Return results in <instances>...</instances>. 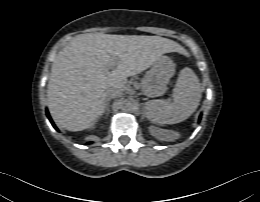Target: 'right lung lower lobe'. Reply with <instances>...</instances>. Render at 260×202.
Returning <instances> with one entry per match:
<instances>
[{"label":"right lung lower lobe","instance_id":"98d812e1","mask_svg":"<svg viewBox=\"0 0 260 202\" xmlns=\"http://www.w3.org/2000/svg\"><path fill=\"white\" fill-rule=\"evenodd\" d=\"M46 113H47V117H48V119L50 120V122L52 123L53 127H54L56 130H58L57 127L55 126V124L53 123V121H52V119H51V117H50L48 111H46ZM90 143H91V142H89L88 144H90Z\"/></svg>","mask_w":260,"mask_h":202}]
</instances>
